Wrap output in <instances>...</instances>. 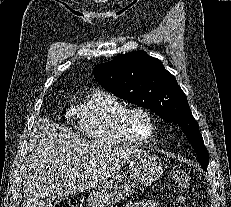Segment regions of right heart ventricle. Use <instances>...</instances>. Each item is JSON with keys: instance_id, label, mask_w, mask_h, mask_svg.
Here are the masks:
<instances>
[{"instance_id": "e07e8e85", "label": "right heart ventricle", "mask_w": 231, "mask_h": 207, "mask_svg": "<svg viewBox=\"0 0 231 207\" xmlns=\"http://www.w3.org/2000/svg\"><path fill=\"white\" fill-rule=\"evenodd\" d=\"M126 105L115 95L95 89L81 103L72 108L78 132L101 142L136 143L124 129L121 115Z\"/></svg>"}]
</instances>
